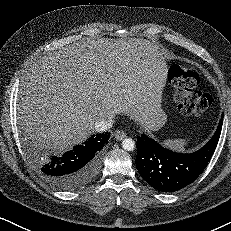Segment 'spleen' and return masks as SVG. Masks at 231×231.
Returning a JSON list of instances; mask_svg holds the SVG:
<instances>
[{"label": "spleen", "mask_w": 231, "mask_h": 231, "mask_svg": "<svg viewBox=\"0 0 231 231\" xmlns=\"http://www.w3.org/2000/svg\"><path fill=\"white\" fill-rule=\"evenodd\" d=\"M187 141L184 139H168L163 141V146L178 152H183L185 150V146L187 145Z\"/></svg>", "instance_id": "3e777b00"}]
</instances>
